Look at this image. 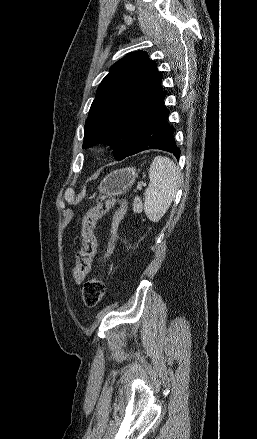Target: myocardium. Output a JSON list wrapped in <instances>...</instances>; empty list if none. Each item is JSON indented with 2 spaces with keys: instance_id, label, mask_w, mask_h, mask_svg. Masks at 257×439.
Here are the masks:
<instances>
[{
  "instance_id": "obj_1",
  "label": "myocardium",
  "mask_w": 257,
  "mask_h": 439,
  "mask_svg": "<svg viewBox=\"0 0 257 439\" xmlns=\"http://www.w3.org/2000/svg\"><path fill=\"white\" fill-rule=\"evenodd\" d=\"M106 149V147L103 145L99 148V151H104Z\"/></svg>"
}]
</instances>
